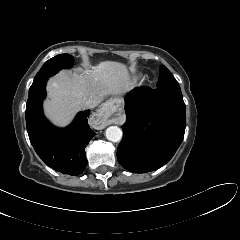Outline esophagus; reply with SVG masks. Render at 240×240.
Wrapping results in <instances>:
<instances>
[{
	"label": "esophagus",
	"instance_id": "1",
	"mask_svg": "<svg viewBox=\"0 0 240 240\" xmlns=\"http://www.w3.org/2000/svg\"><path fill=\"white\" fill-rule=\"evenodd\" d=\"M116 99H110L102 105L96 114V119L101 124L102 127H105L112 123L110 117L115 111V104H117Z\"/></svg>",
	"mask_w": 240,
	"mask_h": 240
}]
</instances>
